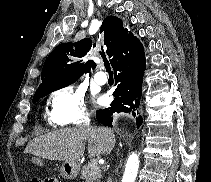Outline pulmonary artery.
Wrapping results in <instances>:
<instances>
[{
	"mask_svg": "<svg viewBox=\"0 0 211 182\" xmlns=\"http://www.w3.org/2000/svg\"><path fill=\"white\" fill-rule=\"evenodd\" d=\"M94 80L99 85H104L107 82V76L104 72H97L94 76Z\"/></svg>",
	"mask_w": 211,
	"mask_h": 182,
	"instance_id": "e3ab8cb5",
	"label": "pulmonary artery"
}]
</instances>
